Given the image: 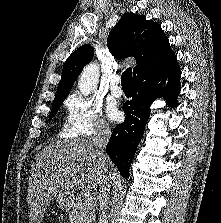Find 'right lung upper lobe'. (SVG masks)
<instances>
[{
    "instance_id": "right-lung-upper-lobe-1",
    "label": "right lung upper lobe",
    "mask_w": 221,
    "mask_h": 223,
    "mask_svg": "<svg viewBox=\"0 0 221 223\" xmlns=\"http://www.w3.org/2000/svg\"><path fill=\"white\" fill-rule=\"evenodd\" d=\"M107 46L116 58L132 56L137 65L133 81L159 75L177 65L175 53L161 25L145 16L126 13L112 28ZM93 58V49L86 44L75 50L66 60L54 100L66 98L83 67Z\"/></svg>"
}]
</instances>
